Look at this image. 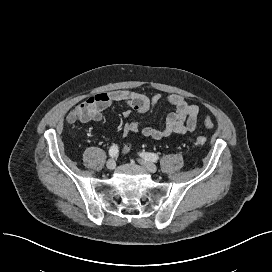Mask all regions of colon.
I'll list each match as a JSON object with an SVG mask.
<instances>
[{"label":"colon","instance_id":"5ec220e1","mask_svg":"<svg viewBox=\"0 0 272 272\" xmlns=\"http://www.w3.org/2000/svg\"><path fill=\"white\" fill-rule=\"evenodd\" d=\"M195 141L198 145H204L206 144L207 139L204 136H198Z\"/></svg>","mask_w":272,"mask_h":272}]
</instances>
